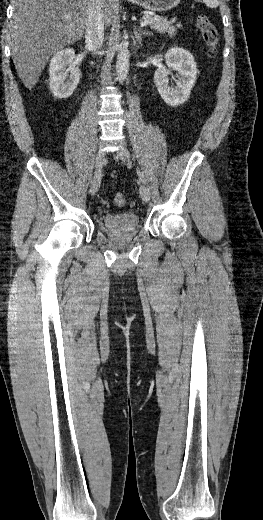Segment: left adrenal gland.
Listing matches in <instances>:
<instances>
[{"label":"left adrenal gland","instance_id":"1","mask_svg":"<svg viewBox=\"0 0 263 520\" xmlns=\"http://www.w3.org/2000/svg\"><path fill=\"white\" fill-rule=\"evenodd\" d=\"M134 35L136 40L139 42L140 45L142 41V37L146 35H152V33L149 30H137L136 27L134 28Z\"/></svg>","mask_w":263,"mask_h":520}]
</instances>
